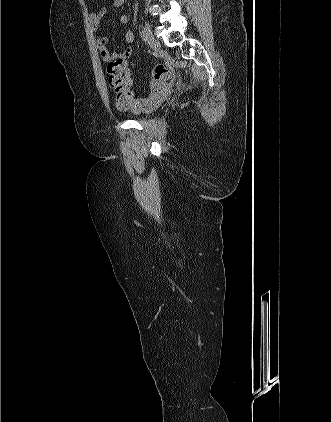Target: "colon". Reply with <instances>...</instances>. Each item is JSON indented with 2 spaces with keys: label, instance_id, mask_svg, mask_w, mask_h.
<instances>
[{
  "label": "colon",
  "instance_id": "5ec220e1",
  "mask_svg": "<svg viewBox=\"0 0 331 422\" xmlns=\"http://www.w3.org/2000/svg\"><path fill=\"white\" fill-rule=\"evenodd\" d=\"M107 76L109 85L115 93L116 107L121 111L141 113L155 108L164 101L171 78V71L165 64L158 63L154 65L150 96L146 99L135 97L131 90L127 64L123 61L115 60L109 62Z\"/></svg>",
  "mask_w": 331,
  "mask_h": 422
}]
</instances>
